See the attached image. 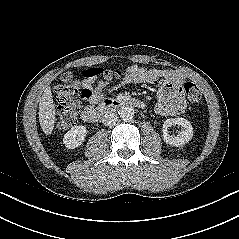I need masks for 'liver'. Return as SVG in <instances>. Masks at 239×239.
Returning a JSON list of instances; mask_svg holds the SVG:
<instances>
[{
	"label": "liver",
	"instance_id": "6515ba94",
	"mask_svg": "<svg viewBox=\"0 0 239 239\" xmlns=\"http://www.w3.org/2000/svg\"><path fill=\"white\" fill-rule=\"evenodd\" d=\"M39 122L43 132L50 135L56 120L55 105L50 87L45 88L39 103Z\"/></svg>",
	"mask_w": 239,
	"mask_h": 239
}]
</instances>
